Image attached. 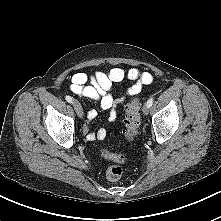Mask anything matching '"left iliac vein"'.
I'll return each mask as SVG.
<instances>
[{
	"label": "left iliac vein",
	"mask_w": 221,
	"mask_h": 221,
	"mask_svg": "<svg viewBox=\"0 0 221 221\" xmlns=\"http://www.w3.org/2000/svg\"><path fill=\"white\" fill-rule=\"evenodd\" d=\"M143 114L148 115L149 113V107L147 104H145L142 108Z\"/></svg>",
	"instance_id": "obj_1"
}]
</instances>
